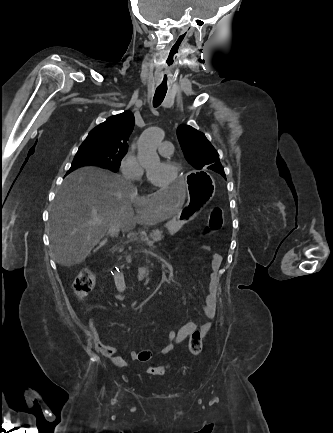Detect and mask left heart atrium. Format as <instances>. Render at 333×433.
Listing matches in <instances>:
<instances>
[{
    "label": "left heart atrium",
    "mask_w": 333,
    "mask_h": 433,
    "mask_svg": "<svg viewBox=\"0 0 333 433\" xmlns=\"http://www.w3.org/2000/svg\"><path fill=\"white\" fill-rule=\"evenodd\" d=\"M149 176H150V178H152L153 174L151 172H149Z\"/></svg>",
    "instance_id": "1"
}]
</instances>
